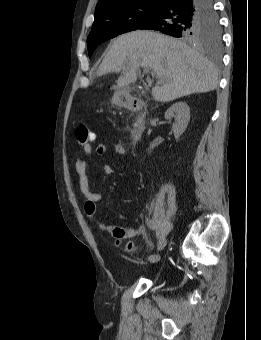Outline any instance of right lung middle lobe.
Segmentation results:
<instances>
[{
  "label": "right lung middle lobe",
  "instance_id": "dd1d6c3e",
  "mask_svg": "<svg viewBox=\"0 0 261 340\" xmlns=\"http://www.w3.org/2000/svg\"><path fill=\"white\" fill-rule=\"evenodd\" d=\"M161 2L162 0L138 1L110 9L95 18L87 38L89 57L100 43L122 33L136 30L147 22L157 12ZM180 37L191 42L220 43L221 29L215 11L209 15L191 16L186 21Z\"/></svg>",
  "mask_w": 261,
  "mask_h": 340
}]
</instances>
